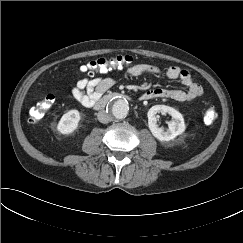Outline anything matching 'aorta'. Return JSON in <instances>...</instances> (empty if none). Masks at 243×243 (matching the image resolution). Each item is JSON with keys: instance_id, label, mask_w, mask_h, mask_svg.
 <instances>
[{"instance_id": "1", "label": "aorta", "mask_w": 243, "mask_h": 243, "mask_svg": "<svg viewBox=\"0 0 243 243\" xmlns=\"http://www.w3.org/2000/svg\"><path fill=\"white\" fill-rule=\"evenodd\" d=\"M129 112V104L127 100L117 99L111 106V114L116 119H124Z\"/></svg>"}]
</instances>
